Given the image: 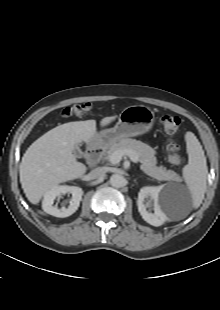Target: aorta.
<instances>
[{
  "label": "aorta",
  "mask_w": 220,
  "mask_h": 310,
  "mask_svg": "<svg viewBox=\"0 0 220 310\" xmlns=\"http://www.w3.org/2000/svg\"><path fill=\"white\" fill-rule=\"evenodd\" d=\"M126 180L125 178L120 174H113L110 177V184L115 188H121L125 186Z\"/></svg>",
  "instance_id": "1"
}]
</instances>
